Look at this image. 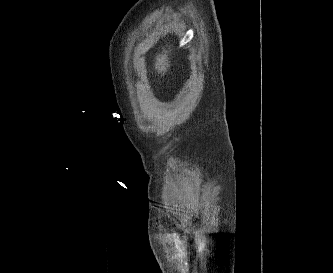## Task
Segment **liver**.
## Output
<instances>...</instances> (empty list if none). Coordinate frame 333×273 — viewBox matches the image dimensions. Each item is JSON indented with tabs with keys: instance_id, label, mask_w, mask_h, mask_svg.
Returning a JSON list of instances; mask_svg holds the SVG:
<instances>
[{
	"instance_id": "obj_1",
	"label": "liver",
	"mask_w": 333,
	"mask_h": 273,
	"mask_svg": "<svg viewBox=\"0 0 333 273\" xmlns=\"http://www.w3.org/2000/svg\"><path fill=\"white\" fill-rule=\"evenodd\" d=\"M169 58H168V51L165 49L163 50L162 54H158L156 56L155 61V70H157L158 73H163V75L167 72L169 64Z\"/></svg>"
}]
</instances>
